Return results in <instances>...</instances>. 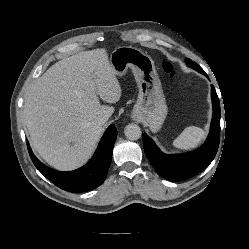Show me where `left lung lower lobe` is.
I'll list each match as a JSON object with an SVG mask.
<instances>
[{"instance_id": "left-lung-lower-lobe-1", "label": "left lung lower lobe", "mask_w": 249, "mask_h": 249, "mask_svg": "<svg viewBox=\"0 0 249 249\" xmlns=\"http://www.w3.org/2000/svg\"><path fill=\"white\" fill-rule=\"evenodd\" d=\"M198 72L206 75L203 69ZM207 76V75H206ZM208 77V76H207ZM213 116L210 133L198 149L182 154L167 155L160 151L145 133L142 135L145 153L162 177L171 181H183L206 169L214 159L220 142V102L214 86H211Z\"/></svg>"}]
</instances>
